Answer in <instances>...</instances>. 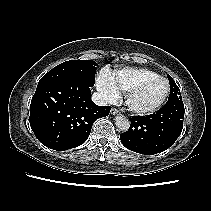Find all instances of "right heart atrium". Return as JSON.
<instances>
[{
	"instance_id": "1",
	"label": "right heart atrium",
	"mask_w": 211,
	"mask_h": 211,
	"mask_svg": "<svg viewBox=\"0 0 211 211\" xmlns=\"http://www.w3.org/2000/svg\"><path fill=\"white\" fill-rule=\"evenodd\" d=\"M97 89L102 98L108 102L118 100L120 93L116 87L111 75L107 71H103L97 79Z\"/></svg>"
}]
</instances>
